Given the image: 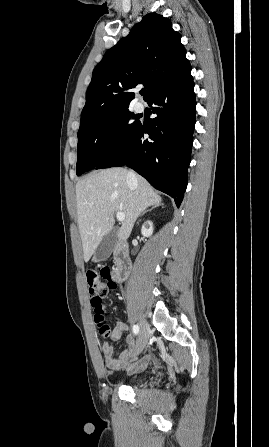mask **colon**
I'll return each instance as SVG.
<instances>
[{"instance_id":"colon-1","label":"colon","mask_w":269,"mask_h":447,"mask_svg":"<svg viewBox=\"0 0 269 447\" xmlns=\"http://www.w3.org/2000/svg\"><path fill=\"white\" fill-rule=\"evenodd\" d=\"M107 267L105 262H98L96 266H89L86 272V282L88 293L90 295L89 301L92 303V306L96 307V311L93 312L92 317L96 320L97 328V338L98 339H113L115 333L110 329V324L108 322H104V313L106 309L101 305L100 298L108 295L110 290V282L103 279L102 276L99 275V268Z\"/></svg>"}]
</instances>
